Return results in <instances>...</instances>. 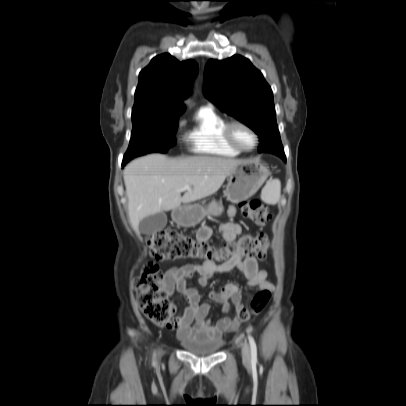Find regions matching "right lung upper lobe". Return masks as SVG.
Returning <instances> with one entry per match:
<instances>
[{
    "label": "right lung upper lobe",
    "mask_w": 406,
    "mask_h": 406,
    "mask_svg": "<svg viewBox=\"0 0 406 406\" xmlns=\"http://www.w3.org/2000/svg\"><path fill=\"white\" fill-rule=\"evenodd\" d=\"M198 69L193 60L179 62L167 53L154 57L139 74L132 114L178 117L185 110L181 99Z\"/></svg>",
    "instance_id": "obj_1"
}]
</instances>
